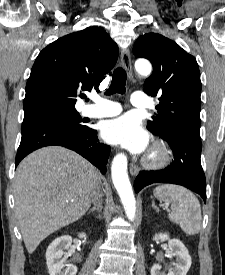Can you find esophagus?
<instances>
[{"mask_svg": "<svg viewBox=\"0 0 225 275\" xmlns=\"http://www.w3.org/2000/svg\"><path fill=\"white\" fill-rule=\"evenodd\" d=\"M121 63H122L123 68L127 72L129 80H132L133 79V74H132L131 57H130V53L127 49H122L121 50ZM130 173L133 176H136L139 173V168L136 164L131 163Z\"/></svg>", "mask_w": 225, "mask_h": 275, "instance_id": "obj_1", "label": "esophagus"}]
</instances>
